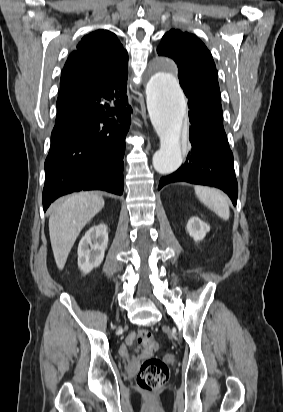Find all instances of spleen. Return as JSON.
<instances>
[{
	"label": "spleen",
	"mask_w": 283,
	"mask_h": 412,
	"mask_svg": "<svg viewBox=\"0 0 283 412\" xmlns=\"http://www.w3.org/2000/svg\"><path fill=\"white\" fill-rule=\"evenodd\" d=\"M195 194L198 199L223 220L230 217L229 204L226 197L218 190L209 187L196 186Z\"/></svg>",
	"instance_id": "1"
}]
</instances>
